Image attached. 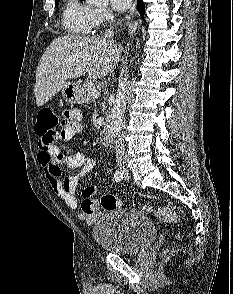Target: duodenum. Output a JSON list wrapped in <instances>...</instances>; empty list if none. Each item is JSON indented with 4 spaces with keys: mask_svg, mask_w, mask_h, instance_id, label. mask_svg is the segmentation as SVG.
<instances>
[{
    "mask_svg": "<svg viewBox=\"0 0 233 294\" xmlns=\"http://www.w3.org/2000/svg\"><path fill=\"white\" fill-rule=\"evenodd\" d=\"M100 140L104 146H109L111 144V137L109 132L106 129L101 130Z\"/></svg>",
    "mask_w": 233,
    "mask_h": 294,
    "instance_id": "obj_1",
    "label": "duodenum"
}]
</instances>
